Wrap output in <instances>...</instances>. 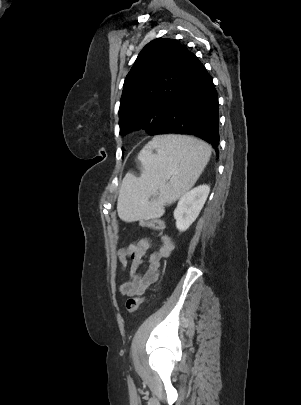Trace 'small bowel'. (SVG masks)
I'll return each mask as SVG.
<instances>
[{"label": "small bowel", "instance_id": "c3829d8e", "mask_svg": "<svg viewBox=\"0 0 301 405\" xmlns=\"http://www.w3.org/2000/svg\"><path fill=\"white\" fill-rule=\"evenodd\" d=\"M150 241L141 238L119 250V259L128 265L126 281L120 286L119 293L123 296L144 294L159 278L161 260L168 258L174 250V243L168 235L160 236V246L157 251L148 253ZM148 266L144 274L139 272L144 259Z\"/></svg>", "mask_w": 301, "mask_h": 405}]
</instances>
